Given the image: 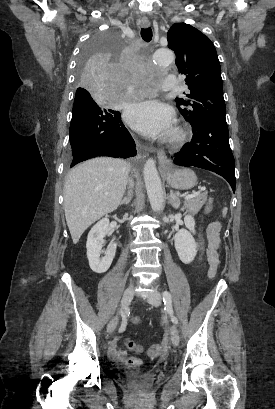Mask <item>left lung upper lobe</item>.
<instances>
[{"label":"left lung upper lobe","instance_id":"left-lung-upper-lobe-1","mask_svg":"<svg viewBox=\"0 0 275 409\" xmlns=\"http://www.w3.org/2000/svg\"><path fill=\"white\" fill-rule=\"evenodd\" d=\"M167 39L191 92L185 98H176L180 113L192 127L209 119L226 121L220 63L213 43L186 23H174Z\"/></svg>","mask_w":275,"mask_h":409}]
</instances>
